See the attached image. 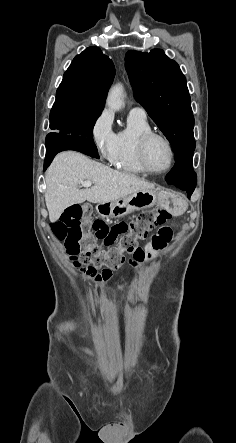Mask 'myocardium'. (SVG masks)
I'll return each instance as SVG.
<instances>
[{
    "instance_id": "obj_1",
    "label": "myocardium",
    "mask_w": 236,
    "mask_h": 443,
    "mask_svg": "<svg viewBox=\"0 0 236 443\" xmlns=\"http://www.w3.org/2000/svg\"><path fill=\"white\" fill-rule=\"evenodd\" d=\"M154 138H159V139L163 140L167 144L169 151H170L169 165L165 169L160 170V171L152 169L151 166L149 165V162L147 159V148H148L150 141ZM137 156H138L139 163H140L141 167L144 169V171L146 173H149L152 175H163V174L168 173L173 168L174 163H175V149H174L173 143L163 133L153 131V130L146 131V132L142 133L140 135V137L138 138Z\"/></svg>"
}]
</instances>
